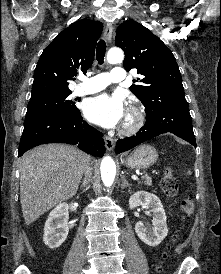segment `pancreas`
Masks as SVG:
<instances>
[{
    "instance_id": "1",
    "label": "pancreas",
    "mask_w": 221,
    "mask_h": 274,
    "mask_svg": "<svg viewBox=\"0 0 221 274\" xmlns=\"http://www.w3.org/2000/svg\"><path fill=\"white\" fill-rule=\"evenodd\" d=\"M142 178L144 179L145 185H147V186H151L152 185V179H151V177L149 175L146 174Z\"/></svg>"
}]
</instances>
